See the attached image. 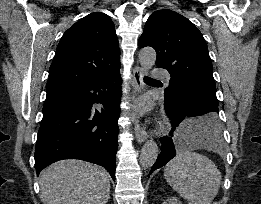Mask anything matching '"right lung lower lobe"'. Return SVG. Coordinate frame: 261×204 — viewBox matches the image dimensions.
Returning a JSON list of instances; mask_svg holds the SVG:
<instances>
[{
  "mask_svg": "<svg viewBox=\"0 0 261 204\" xmlns=\"http://www.w3.org/2000/svg\"><path fill=\"white\" fill-rule=\"evenodd\" d=\"M119 69L47 92L34 155L37 174L56 161L80 159L105 167L115 180L122 83ZM94 103H100L101 109H94Z\"/></svg>",
  "mask_w": 261,
  "mask_h": 204,
  "instance_id": "obj_1",
  "label": "right lung lower lobe"
}]
</instances>
